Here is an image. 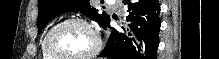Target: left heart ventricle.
Wrapping results in <instances>:
<instances>
[{"mask_svg": "<svg viewBox=\"0 0 219 59\" xmlns=\"http://www.w3.org/2000/svg\"><path fill=\"white\" fill-rule=\"evenodd\" d=\"M53 45L64 56H79L93 48L94 38L84 26L68 24L55 33Z\"/></svg>", "mask_w": 219, "mask_h": 59, "instance_id": "b2bd125f", "label": "left heart ventricle"}]
</instances>
